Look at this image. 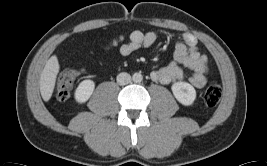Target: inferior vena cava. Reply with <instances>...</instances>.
<instances>
[{"label":"inferior vena cava","instance_id":"obj_1","mask_svg":"<svg viewBox=\"0 0 267 166\" xmlns=\"http://www.w3.org/2000/svg\"><path fill=\"white\" fill-rule=\"evenodd\" d=\"M116 80L119 85H126L131 82V76L126 72H122L117 75Z\"/></svg>","mask_w":267,"mask_h":166}]
</instances>
